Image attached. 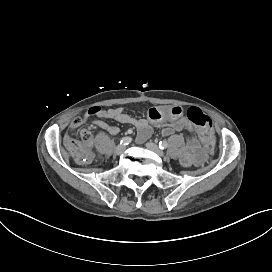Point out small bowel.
<instances>
[{
    "instance_id": "small-bowel-1",
    "label": "small bowel",
    "mask_w": 272,
    "mask_h": 272,
    "mask_svg": "<svg viewBox=\"0 0 272 272\" xmlns=\"http://www.w3.org/2000/svg\"><path fill=\"white\" fill-rule=\"evenodd\" d=\"M105 119H112L119 123L134 126L138 131L139 141H145L149 138L153 127H162V134L169 136L184 131L188 126L183 109L179 106L152 107L148 111L147 118H135L125 113L121 107L105 109L100 106H92L81 117H77L72 121L70 129L75 130L82 124L92 123L111 135H117L119 128L108 124L104 121ZM82 132L90 133L87 130ZM69 137L66 136L65 140ZM204 157L197 139L193 136H187L186 146L181 156L182 164L185 167L198 166L203 162Z\"/></svg>"
}]
</instances>
